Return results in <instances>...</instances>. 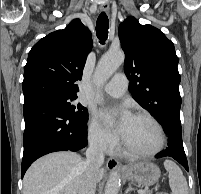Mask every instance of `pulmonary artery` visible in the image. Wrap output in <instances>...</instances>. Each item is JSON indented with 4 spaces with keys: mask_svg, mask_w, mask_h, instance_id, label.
<instances>
[{
    "mask_svg": "<svg viewBox=\"0 0 201 194\" xmlns=\"http://www.w3.org/2000/svg\"><path fill=\"white\" fill-rule=\"evenodd\" d=\"M127 78L124 74H116L110 82L103 87V92L111 97L119 98L127 89Z\"/></svg>",
    "mask_w": 201,
    "mask_h": 194,
    "instance_id": "obj_1",
    "label": "pulmonary artery"
}]
</instances>
